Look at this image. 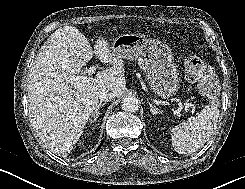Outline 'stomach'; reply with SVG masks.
I'll use <instances>...</instances> for the list:
<instances>
[{"instance_id":"1","label":"stomach","mask_w":245,"mask_h":189,"mask_svg":"<svg viewBox=\"0 0 245 189\" xmlns=\"http://www.w3.org/2000/svg\"><path fill=\"white\" fill-rule=\"evenodd\" d=\"M111 51L120 58L137 61L157 96L169 98L178 91L180 77L173 54L162 41L143 34H122L113 40Z\"/></svg>"}]
</instances>
